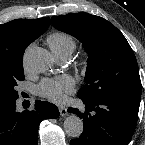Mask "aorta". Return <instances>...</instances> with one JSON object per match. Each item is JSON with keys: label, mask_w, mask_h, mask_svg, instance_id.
<instances>
[{"label": "aorta", "mask_w": 145, "mask_h": 145, "mask_svg": "<svg viewBox=\"0 0 145 145\" xmlns=\"http://www.w3.org/2000/svg\"><path fill=\"white\" fill-rule=\"evenodd\" d=\"M24 62L30 70L41 73L49 71L53 64L51 54L41 47L28 49L24 55ZM83 128V121L76 115H70L64 121V130L70 137L78 138Z\"/></svg>", "instance_id": "762f6f07"}]
</instances>
